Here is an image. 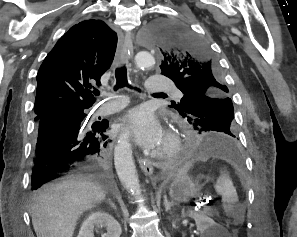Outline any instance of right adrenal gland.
Returning a JSON list of instances; mask_svg holds the SVG:
<instances>
[{
  "instance_id": "2a0ac1e0",
  "label": "right adrenal gland",
  "mask_w": 297,
  "mask_h": 237,
  "mask_svg": "<svg viewBox=\"0 0 297 237\" xmlns=\"http://www.w3.org/2000/svg\"><path fill=\"white\" fill-rule=\"evenodd\" d=\"M107 201H108L109 205H110L114 210H117L115 204L111 201V199H108Z\"/></svg>"
}]
</instances>
